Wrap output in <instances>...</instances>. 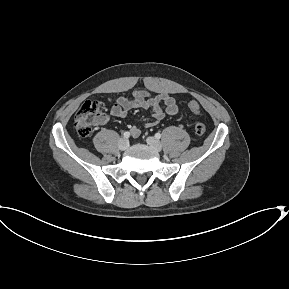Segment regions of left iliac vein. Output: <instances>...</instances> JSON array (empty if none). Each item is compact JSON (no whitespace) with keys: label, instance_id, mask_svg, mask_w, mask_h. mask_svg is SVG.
I'll return each mask as SVG.
<instances>
[{"label":"left iliac vein","instance_id":"4c4485c4","mask_svg":"<svg viewBox=\"0 0 289 289\" xmlns=\"http://www.w3.org/2000/svg\"><path fill=\"white\" fill-rule=\"evenodd\" d=\"M146 142L149 146H151L155 151L160 152L162 150V144L159 140L154 137H148Z\"/></svg>","mask_w":289,"mask_h":289}]
</instances>
